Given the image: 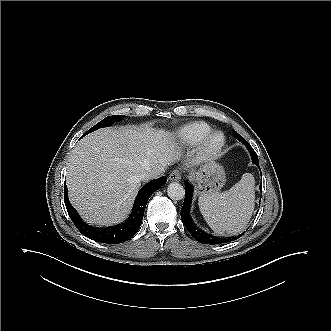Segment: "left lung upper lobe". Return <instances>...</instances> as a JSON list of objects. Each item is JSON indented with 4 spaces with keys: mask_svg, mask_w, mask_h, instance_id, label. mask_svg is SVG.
Listing matches in <instances>:
<instances>
[{
    "mask_svg": "<svg viewBox=\"0 0 331 331\" xmlns=\"http://www.w3.org/2000/svg\"><path fill=\"white\" fill-rule=\"evenodd\" d=\"M236 136V135H239L236 131L233 132V136ZM253 149V148H252ZM254 151V150H253ZM250 152L251 156H252V159H253V162L254 163H258V157H257V154L254 152Z\"/></svg>",
    "mask_w": 331,
    "mask_h": 331,
    "instance_id": "left-lung-upper-lobe-1",
    "label": "left lung upper lobe"
}]
</instances>
